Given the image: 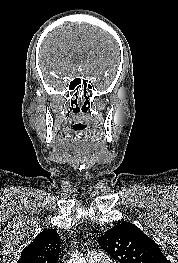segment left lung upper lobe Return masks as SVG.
Masks as SVG:
<instances>
[{
	"label": "left lung upper lobe",
	"instance_id": "1",
	"mask_svg": "<svg viewBox=\"0 0 178 263\" xmlns=\"http://www.w3.org/2000/svg\"><path fill=\"white\" fill-rule=\"evenodd\" d=\"M98 243L120 263H170L159 246L129 222L109 229Z\"/></svg>",
	"mask_w": 178,
	"mask_h": 263
}]
</instances>
